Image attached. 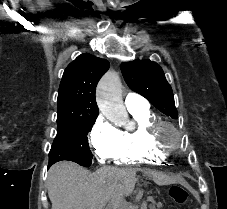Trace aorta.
I'll return each instance as SVG.
<instances>
[{
    "label": "aorta",
    "mask_w": 227,
    "mask_h": 209,
    "mask_svg": "<svg viewBox=\"0 0 227 209\" xmlns=\"http://www.w3.org/2000/svg\"><path fill=\"white\" fill-rule=\"evenodd\" d=\"M97 102L100 111L111 121L127 117L121 97V81L117 73L108 72L97 87Z\"/></svg>",
    "instance_id": "obj_1"
}]
</instances>
